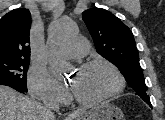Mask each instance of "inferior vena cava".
Here are the masks:
<instances>
[{
    "instance_id": "obj_1",
    "label": "inferior vena cava",
    "mask_w": 165,
    "mask_h": 120,
    "mask_svg": "<svg viewBox=\"0 0 165 120\" xmlns=\"http://www.w3.org/2000/svg\"><path fill=\"white\" fill-rule=\"evenodd\" d=\"M43 120H55L53 111L59 109V105L53 101H44Z\"/></svg>"
}]
</instances>
